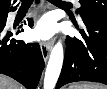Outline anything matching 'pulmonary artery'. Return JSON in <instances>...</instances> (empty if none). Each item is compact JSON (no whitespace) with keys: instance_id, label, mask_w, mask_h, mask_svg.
I'll return each instance as SVG.
<instances>
[{"instance_id":"obj_1","label":"pulmonary artery","mask_w":107,"mask_h":89,"mask_svg":"<svg viewBox=\"0 0 107 89\" xmlns=\"http://www.w3.org/2000/svg\"><path fill=\"white\" fill-rule=\"evenodd\" d=\"M75 3H76L77 6H79V3L77 1Z\"/></svg>"}]
</instances>
